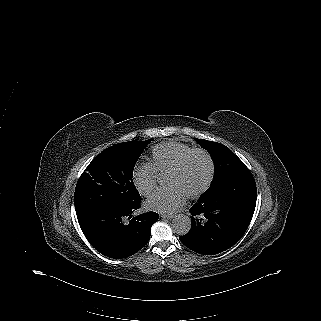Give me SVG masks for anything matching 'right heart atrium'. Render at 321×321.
<instances>
[{"label":"right heart atrium","instance_id":"obj_1","mask_svg":"<svg viewBox=\"0 0 321 321\" xmlns=\"http://www.w3.org/2000/svg\"><path fill=\"white\" fill-rule=\"evenodd\" d=\"M136 177L139 188L147 192L151 190L156 183L157 169L152 163L148 162L138 169Z\"/></svg>","mask_w":321,"mask_h":321}]
</instances>
